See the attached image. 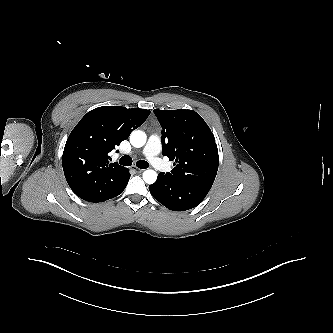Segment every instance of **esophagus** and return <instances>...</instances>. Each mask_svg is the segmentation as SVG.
<instances>
[{
	"label": "esophagus",
	"instance_id": "1",
	"mask_svg": "<svg viewBox=\"0 0 333 333\" xmlns=\"http://www.w3.org/2000/svg\"><path fill=\"white\" fill-rule=\"evenodd\" d=\"M132 168H133V170H136V171L139 172V173H141V172L144 171L143 169H140V168H138V167H136V166H133Z\"/></svg>",
	"mask_w": 333,
	"mask_h": 333
}]
</instances>
